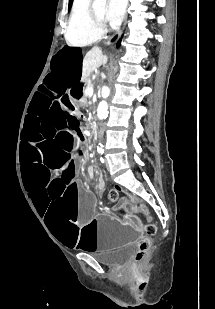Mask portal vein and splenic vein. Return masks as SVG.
<instances>
[{
    "mask_svg": "<svg viewBox=\"0 0 215 309\" xmlns=\"http://www.w3.org/2000/svg\"><path fill=\"white\" fill-rule=\"evenodd\" d=\"M86 92H87V94H89V96H92L94 90H93V88H87Z\"/></svg>",
    "mask_w": 215,
    "mask_h": 309,
    "instance_id": "18ae733b",
    "label": "portal vein and splenic vein"
}]
</instances>
